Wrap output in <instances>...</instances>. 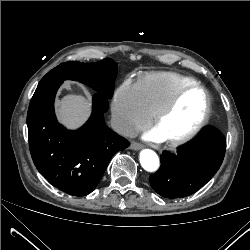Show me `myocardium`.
<instances>
[{"label":"myocardium","instance_id":"obj_1","mask_svg":"<svg viewBox=\"0 0 250 250\" xmlns=\"http://www.w3.org/2000/svg\"><path fill=\"white\" fill-rule=\"evenodd\" d=\"M193 89L200 90L203 93V96H204L203 114L198 120V122L189 131L179 136L173 137L171 139L164 140V142L169 146H178L194 138L206 125L209 119V116L211 113L210 95L207 89L203 85L197 82H193V83H189V84L181 86L174 92V94L167 101V103L153 117L152 122H151V127L153 129L156 128L163 121V119L175 108L181 96L187 91L193 90Z\"/></svg>","mask_w":250,"mask_h":250}]
</instances>
